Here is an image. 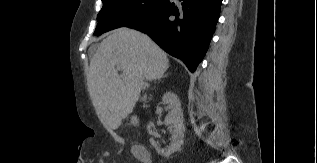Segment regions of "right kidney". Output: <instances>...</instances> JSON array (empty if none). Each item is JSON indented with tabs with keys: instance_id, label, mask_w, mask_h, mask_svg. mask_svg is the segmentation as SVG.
Listing matches in <instances>:
<instances>
[{
	"instance_id": "obj_1",
	"label": "right kidney",
	"mask_w": 317,
	"mask_h": 163,
	"mask_svg": "<svg viewBox=\"0 0 317 163\" xmlns=\"http://www.w3.org/2000/svg\"><path fill=\"white\" fill-rule=\"evenodd\" d=\"M162 100L171 105V111L165 118V124L172 128L171 143L167 148H160L153 139H151L150 142L155 147L158 154L168 158L174 152L180 150L181 145L184 142V116L181 102L174 93L166 92L163 95Z\"/></svg>"
}]
</instances>
